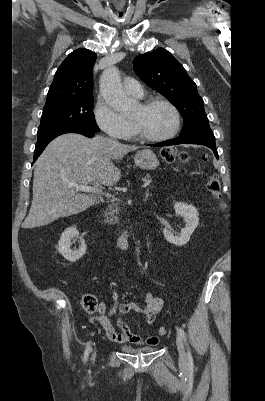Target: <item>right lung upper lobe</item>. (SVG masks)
Segmentation results:
<instances>
[{"label": "right lung upper lobe", "mask_w": 265, "mask_h": 401, "mask_svg": "<svg viewBox=\"0 0 265 401\" xmlns=\"http://www.w3.org/2000/svg\"><path fill=\"white\" fill-rule=\"evenodd\" d=\"M96 54L80 48L70 53L55 73L45 105L78 97L92 96V68Z\"/></svg>", "instance_id": "cb5924a9"}]
</instances>
